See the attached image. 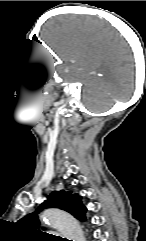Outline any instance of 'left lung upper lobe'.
Masks as SVG:
<instances>
[{"mask_svg":"<svg viewBox=\"0 0 146 241\" xmlns=\"http://www.w3.org/2000/svg\"><path fill=\"white\" fill-rule=\"evenodd\" d=\"M59 208L62 210H65L72 214L74 217L79 219L80 221L84 222L86 221L85 213L87 211L86 207L81 202V197L78 194H72L71 191H55L52 192L48 197L47 200H45L38 209L24 218L20 220V223L24 228L36 231L42 235H44L47 238H51L49 236H46L45 232L36 230V228L39 226L40 222L38 219V213L45 209V208Z\"/></svg>","mask_w":146,"mask_h":241,"instance_id":"5c2ea615","label":"left lung upper lobe"}]
</instances>
